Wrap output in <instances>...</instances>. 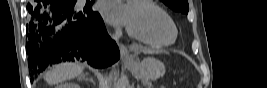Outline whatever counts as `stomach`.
Segmentation results:
<instances>
[{
	"label": "stomach",
	"instance_id": "1",
	"mask_svg": "<svg viewBox=\"0 0 267 88\" xmlns=\"http://www.w3.org/2000/svg\"><path fill=\"white\" fill-rule=\"evenodd\" d=\"M134 77L154 81L165 74L164 64L156 58L147 57L142 61L136 60L126 64Z\"/></svg>",
	"mask_w": 267,
	"mask_h": 88
}]
</instances>
